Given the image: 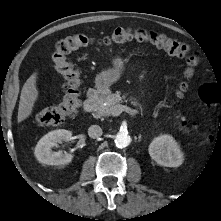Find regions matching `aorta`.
<instances>
[{
    "label": "aorta",
    "mask_w": 221,
    "mask_h": 221,
    "mask_svg": "<svg viewBox=\"0 0 221 221\" xmlns=\"http://www.w3.org/2000/svg\"><path fill=\"white\" fill-rule=\"evenodd\" d=\"M130 143V136L126 132H119L115 136V144L119 148H124Z\"/></svg>",
    "instance_id": "aorta-1"
}]
</instances>
